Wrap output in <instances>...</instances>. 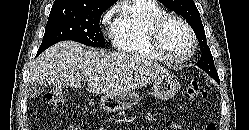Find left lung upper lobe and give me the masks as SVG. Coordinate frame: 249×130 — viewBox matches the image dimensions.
<instances>
[{
	"instance_id": "1",
	"label": "left lung upper lobe",
	"mask_w": 249,
	"mask_h": 130,
	"mask_svg": "<svg viewBox=\"0 0 249 130\" xmlns=\"http://www.w3.org/2000/svg\"><path fill=\"white\" fill-rule=\"evenodd\" d=\"M167 8L181 15L194 30L202 50L201 58L197 66L210 75L219 83L217 70L214 66L213 56L206 42L204 26L202 24L200 13L193 0H160Z\"/></svg>"
}]
</instances>
